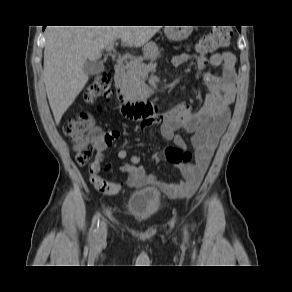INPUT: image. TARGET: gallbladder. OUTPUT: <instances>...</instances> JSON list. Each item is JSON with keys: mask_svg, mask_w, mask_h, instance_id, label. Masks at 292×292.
I'll return each instance as SVG.
<instances>
[{"mask_svg": "<svg viewBox=\"0 0 292 292\" xmlns=\"http://www.w3.org/2000/svg\"><path fill=\"white\" fill-rule=\"evenodd\" d=\"M83 70L87 75H98L104 71V65L100 62L86 61Z\"/></svg>", "mask_w": 292, "mask_h": 292, "instance_id": "obj_1", "label": "gallbladder"}]
</instances>
